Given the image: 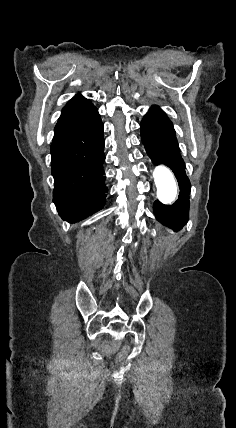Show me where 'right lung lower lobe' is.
<instances>
[{
  "mask_svg": "<svg viewBox=\"0 0 236 428\" xmlns=\"http://www.w3.org/2000/svg\"><path fill=\"white\" fill-rule=\"evenodd\" d=\"M104 144L103 124L94 105L62 110L50 152L53 202L63 220L76 222L104 207Z\"/></svg>",
  "mask_w": 236,
  "mask_h": 428,
  "instance_id": "98d812e1",
  "label": "right lung lower lobe"
}]
</instances>
